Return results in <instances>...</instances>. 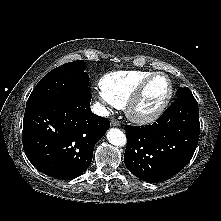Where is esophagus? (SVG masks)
Listing matches in <instances>:
<instances>
[{
  "label": "esophagus",
  "mask_w": 221,
  "mask_h": 221,
  "mask_svg": "<svg viewBox=\"0 0 221 221\" xmlns=\"http://www.w3.org/2000/svg\"><path fill=\"white\" fill-rule=\"evenodd\" d=\"M120 125H121V123L118 120H116V119L111 120V126L119 127Z\"/></svg>",
  "instance_id": "1"
}]
</instances>
